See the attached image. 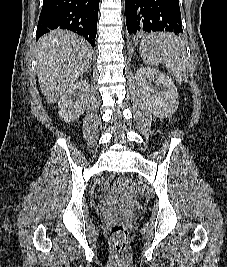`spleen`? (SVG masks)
I'll return each mask as SVG.
<instances>
[{
  "mask_svg": "<svg viewBox=\"0 0 227 267\" xmlns=\"http://www.w3.org/2000/svg\"><path fill=\"white\" fill-rule=\"evenodd\" d=\"M139 55L143 56L148 67L162 61L178 82L182 81L186 73L185 45L173 34L151 35L141 43Z\"/></svg>",
  "mask_w": 227,
  "mask_h": 267,
  "instance_id": "1",
  "label": "spleen"
}]
</instances>
